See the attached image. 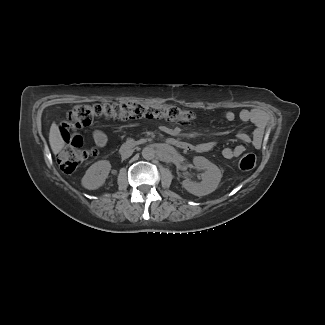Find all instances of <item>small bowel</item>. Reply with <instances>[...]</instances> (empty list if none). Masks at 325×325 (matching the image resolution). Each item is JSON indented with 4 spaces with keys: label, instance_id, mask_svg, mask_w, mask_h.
Wrapping results in <instances>:
<instances>
[{
    "label": "small bowel",
    "instance_id": "obj_1",
    "mask_svg": "<svg viewBox=\"0 0 325 325\" xmlns=\"http://www.w3.org/2000/svg\"><path fill=\"white\" fill-rule=\"evenodd\" d=\"M222 119L228 123H232L236 119H239L242 122H252L255 124L257 131H261L267 120V116L261 110L243 109L238 114L232 111H225L222 113ZM57 130L59 132L60 138L67 144L76 148H80L83 146L84 144L83 136L80 134L74 135L70 133L66 122L64 121L59 122L57 125ZM93 139L95 145L98 148L102 149L106 147L108 139L106 134L103 131L101 130L94 131ZM239 139L241 141L248 142L250 140V137L248 134L243 132L239 134ZM213 148H214V143L211 141L199 143L194 146V149L198 152H206ZM244 151H245V146L243 144H238L234 147H228L223 149L222 155L226 159H233L240 156Z\"/></svg>",
    "mask_w": 325,
    "mask_h": 325
}]
</instances>
